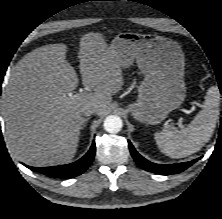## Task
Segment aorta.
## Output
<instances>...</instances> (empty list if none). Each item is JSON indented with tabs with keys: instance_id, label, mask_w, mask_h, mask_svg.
I'll use <instances>...</instances> for the list:
<instances>
[{
	"instance_id": "762f6f07",
	"label": "aorta",
	"mask_w": 222,
	"mask_h": 219,
	"mask_svg": "<svg viewBox=\"0 0 222 219\" xmlns=\"http://www.w3.org/2000/svg\"><path fill=\"white\" fill-rule=\"evenodd\" d=\"M122 126V119L117 115H110L104 120V129L109 133H118Z\"/></svg>"
}]
</instances>
